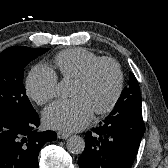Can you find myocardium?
Returning <instances> with one entry per match:
<instances>
[{"mask_svg": "<svg viewBox=\"0 0 168 168\" xmlns=\"http://www.w3.org/2000/svg\"><path fill=\"white\" fill-rule=\"evenodd\" d=\"M104 63L110 64L111 66H113L116 73V80H115V88L109 101L104 106L94 110L95 114H98V115L106 114L112 111L121 97L122 90H123V71L120 64L114 58L99 57L98 59L91 62L85 68V70L75 79L76 82H79L82 84L87 83L92 77L96 68L99 65Z\"/></svg>", "mask_w": 168, "mask_h": 168, "instance_id": "f54148a6", "label": "myocardium"}]
</instances>
